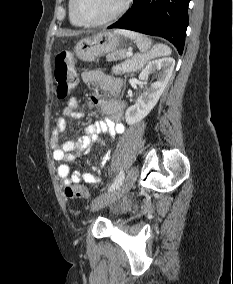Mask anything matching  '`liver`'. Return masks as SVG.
I'll use <instances>...</instances> for the list:
<instances>
[{"instance_id": "1", "label": "liver", "mask_w": 233, "mask_h": 284, "mask_svg": "<svg viewBox=\"0 0 233 284\" xmlns=\"http://www.w3.org/2000/svg\"><path fill=\"white\" fill-rule=\"evenodd\" d=\"M80 32H63L60 34V36H74L78 35Z\"/></svg>"}]
</instances>
